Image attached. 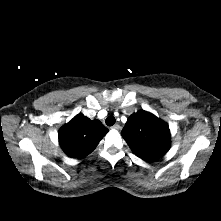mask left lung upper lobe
Instances as JSON below:
<instances>
[{
	"mask_svg": "<svg viewBox=\"0 0 221 221\" xmlns=\"http://www.w3.org/2000/svg\"><path fill=\"white\" fill-rule=\"evenodd\" d=\"M134 154L146 162H153L170 149L167 123L147 111L132 114L121 132Z\"/></svg>",
	"mask_w": 221,
	"mask_h": 221,
	"instance_id": "left-lung-upper-lobe-1",
	"label": "left lung upper lobe"
}]
</instances>
